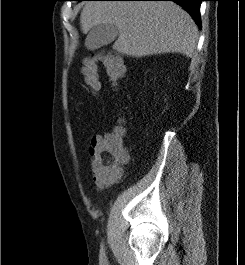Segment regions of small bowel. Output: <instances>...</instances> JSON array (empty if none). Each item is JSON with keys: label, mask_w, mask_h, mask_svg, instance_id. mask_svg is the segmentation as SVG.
Instances as JSON below:
<instances>
[{"label": "small bowel", "mask_w": 245, "mask_h": 265, "mask_svg": "<svg viewBox=\"0 0 245 265\" xmlns=\"http://www.w3.org/2000/svg\"><path fill=\"white\" fill-rule=\"evenodd\" d=\"M104 136L102 135H95L92 137L91 142H90V147H89V154L91 158H93L95 152L99 148V146L102 144L104 140ZM92 179L94 186L96 187L97 190H104L107 187H110L114 182L115 179H111L106 177L104 174L100 173L97 171L93 165H92Z\"/></svg>", "instance_id": "c3829d8e"}]
</instances>
